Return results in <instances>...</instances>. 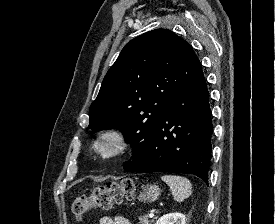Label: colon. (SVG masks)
I'll list each match as a JSON object with an SVG mask.
<instances>
[{
  "instance_id": "colon-1",
  "label": "colon",
  "mask_w": 275,
  "mask_h": 224,
  "mask_svg": "<svg viewBox=\"0 0 275 224\" xmlns=\"http://www.w3.org/2000/svg\"><path fill=\"white\" fill-rule=\"evenodd\" d=\"M136 186L130 179L121 182H109L105 186L95 188L90 194L76 196L72 204V212L78 218L95 209L109 210L115 204H120L124 200H131L134 197Z\"/></svg>"
}]
</instances>
